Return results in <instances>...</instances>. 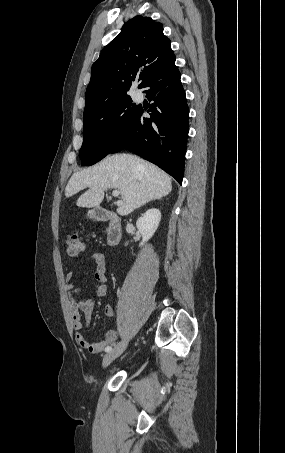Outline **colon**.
Instances as JSON below:
<instances>
[{
  "mask_svg": "<svg viewBox=\"0 0 285 453\" xmlns=\"http://www.w3.org/2000/svg\"><path fill=\"white\" fill-rule=\"evenodd\" d=\"M84 242L78 232L71 233L66 241L65 250L69 257H77L84 251Z\"/></svg>",
  "mask_w": 285,
  "mask_h": 453,
  "instance_id": "obj_1",
  "label": "colon"
}]
</instances>
